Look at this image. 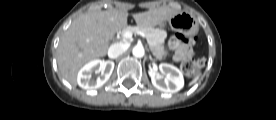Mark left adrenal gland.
Here are the masks:
<instances>
[{"label":"left adrenal gland","instance_id":"left-adrenal-gland-1","mask_svg":"<svg viewBox=\"0 0 276 120\" xmlns=\"http://www.w3.org/2000/svg\"><path fill=\"white\" fill-rule=\"evenodd\" d=\"M149 59H150L151 61H153V58H152V56H151V55H149Z\"/></svg>","mask_w":276,"mask_h":120}]
</instances>
